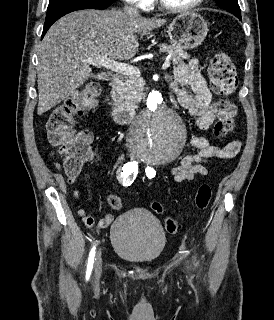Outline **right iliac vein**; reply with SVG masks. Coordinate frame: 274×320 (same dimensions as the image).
<instances>
[{
	"label": "right iliac vein",
	"instance_id": "63e3f726",
	"mask_svg": "<svg viewBox=\"0 0 274 320\" xmlns=\"http://www.w3.org/2000/svg\"><path fill=\"white\" fill-rule=\"evenodd\" d=\"M101 255H102L101 251H98L95 258L94 278L96 283L99 281L101 272H102V256Z\"/></svg>",
	"mask_w": 274,
	"mask_h": 320
}]
</instances>
